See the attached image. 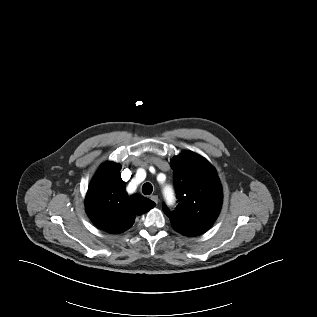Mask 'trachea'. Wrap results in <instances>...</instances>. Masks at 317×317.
<instances>
[{
  "label": "trachea",
  "instance_id": "obj_1",
  "mask_svg": "<svg viewBox=\"0 0 317 317\" xmlns=\"http://www.w3.org/2000/svg\"><path fill=\"white\" fill-rule=\"evenodd\" d=\"M152 191H153V186L150 183L147 182L142 186L143 194L150 195Z\"/></svg>",
  "mask_w": 317,
  "mask_h": 317
}]
</instances>
